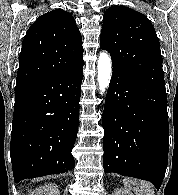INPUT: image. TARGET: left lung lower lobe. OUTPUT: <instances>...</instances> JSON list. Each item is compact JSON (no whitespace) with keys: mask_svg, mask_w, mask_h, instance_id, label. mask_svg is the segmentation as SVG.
I'll list each match as a JSON object with an SVG mask.
<instances>
[{"mask_svg":"<svg viewBox=\"0 0 178 195\" xmlns=\"http://www.w3.org/2000/svg\"><path fill=\"white\" fill-rule=\"evenodd\" d=\"M102 125L104 171L150 181L159 190L169 148L166 91L113 70Z\"/></svg>","mask_w":178,"mask_h":195,"instance_id":"0a47b994","label":"left lung lower lobe"}]
</instances>
